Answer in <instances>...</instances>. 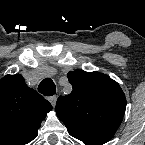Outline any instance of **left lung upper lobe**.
I'll return each instance as SVG.
<instances>
[{"label": "left lung upper lobe", "mask_w": 145, "mask_h": 145, "mask_svg": "<svg viewBox=\"0 0 145 145\" xmlns=\"http://www.w3.org/2000/svg\"><path fill=\"white\" fill-rule=\"evenodd\" d=\"M67 76L73 90L60 96L56 104V113L65 126L117 130L126 109L119 84L99 72L75 70Z\"/></svg>", "instance_id": "5c2ea615"}]
</instances>
